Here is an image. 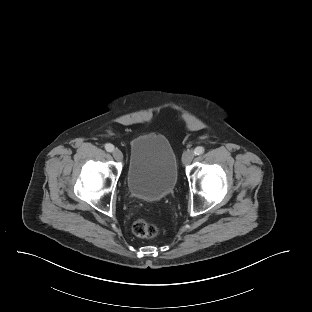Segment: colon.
I'll use <instances>...</instances> for the list:
<instances>
[{
  "instance_id": "obj_1",
  "label": "colon",
  "mask_w": 312,
  "mask_h": 312,
  "mask_svg": "<svg viewBox=\"0 0 312 312\" xmlns=\"http://www.w3.org/2000/svg\"><path fill=\"white\" fill-rule=\"evenodd\" d=\"M132 231L137 237L145 239L154 238L159 234V228L156 225L143 219H139L134 222Z\"/></svg>"
}]
</instances>
